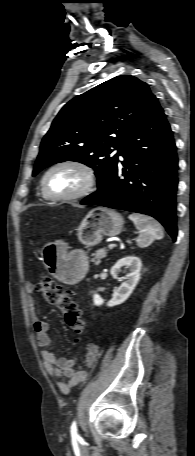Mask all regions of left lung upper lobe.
Instances as JSON below:
<instances>
[{
  "label": "left lung upper lobe",
  "mask_w": 195,
  "mask_h": 456,
  "mask_svg": "<svg viewBox=\"0 0 195 456\" xmlns=\"http://www.w3.org/2000/svg\"><path fill=\"white\" fill-rule=\"evenodd\" d=\"M156 97L145 82L114 77L69 101L44 136L33 176L63 161L95 170L98 187L114 167L126 135Z\"/></svg>",
  "instance_id": "1"
}]
</instances>
